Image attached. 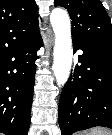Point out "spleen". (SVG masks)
Here are the masks:
<instances>
[{
	"instance_id": "spleen-1",
	"label": "spleen",
	"mask_w": 112,
	"mask_h": 135,
	"mask_svg": "<svg viewBox=\"0 0 112 135\" xmlns=\"http://www.w3.org/2000/svg\"><path fill=\"white\" fill-rule=\"evenodd\" d=\"M79 135H112V132L104 128H94L89 132L80 133Z\"/></svg>"
}]
</instances>
